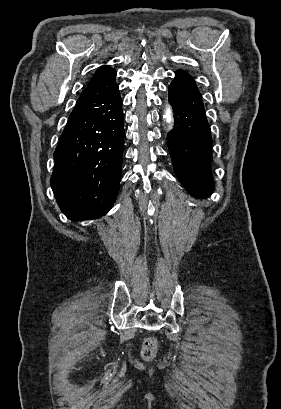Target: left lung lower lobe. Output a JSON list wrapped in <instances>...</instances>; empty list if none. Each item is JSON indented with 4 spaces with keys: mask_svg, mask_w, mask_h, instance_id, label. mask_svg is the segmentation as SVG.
Returning a JSON list of instances; mask_svg holds the SVG:
<instances>
[{
    "mask_svg": "<svg viewBox=\"0 0 281 409\" xmlns=\"http://www.w3.org/2000/svg\"><path fill=\"white\" fill-rule=\"evenodd\" d=\"M168 93L175 121L167 143L175 173L192 196L206 198L214 187L212 138L201 94L191 76L182 70L176 72Z\"/></svg>",
    "mask_w": 281,
    "mask_h": 409,
    "instance_id": "left-lung-lower-lobe-1",
    "label": "left lung lower lobe"
}]
</instances>
